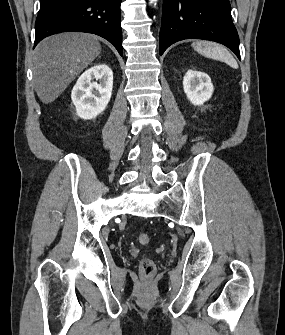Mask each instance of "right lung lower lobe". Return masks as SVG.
I'll use <instances>...</instances> for the list:
<instances>
[{
    "instance_id": "right-lung-lower-lobe-1",
    "label": "right lung lower lobe",
    "mask_w": 285,
    "mask_h": 335,
    "mask_svg": "<svg viewBox=\"0 0 285 335\" xmlns=\"http://www.w3.org/2000/svg\"><path fill=\"white\" fill-rule=\"evenodd\" d=\"M121 0H40L34 47L61 32H86L111 42L122 56Z\"/></svg>"
}]
</instances>
